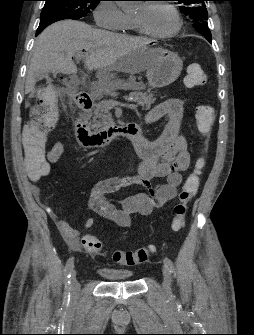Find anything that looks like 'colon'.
I'll list each match as a JSON object with an SVG mask.
<instances>
[{"label": "colon", "instance_id": "obj_1", "mask_svg": "<svg viewBox=\"0 0 254 335\" xmlns=\"http://www.w3.org/2000/svg\"><path fill=\"white\" fill-rule=\"evenodd\" d=\"M206 81V74L199 64H190L187 68L185 84L188 87H197ZM40 103L33 113L31 121L26 125L23 132L24 154L20 159L25 172V178H48L49 165L47 151L45 150L46 135L57 123L59 104L54 91H43ZM195 116L199 132L208 135L214 121V108L211 105H199L195 109ZM205 166L204 157H199L195 164V170L186 179L178 199L174 205L171 228L180 231L185 226L187 204L197 193L201 174ZM84 247L93 254L101 251L102 243L94 236L83 238ZM152 245L138 247L133 250H117L112 254L115 263L134 266L146 262L154 253Z\"/></svg>", "mask_w": 254, "mask_h": 335}]
</instances>
